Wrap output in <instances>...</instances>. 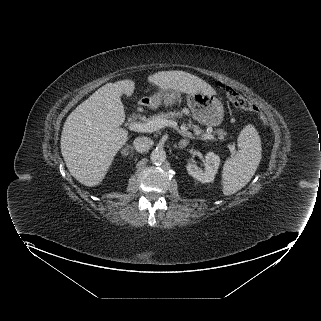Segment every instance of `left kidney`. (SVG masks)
<instances>
[{
    "label": "left kidney",
    "instance_id": "5707ae66",
    "mask_svg": "<svg viewBox=\"0 0 321 321\" xmlns=\"http://www.w3.org/2000/svg\"><path fill=\"white\" fill-rule=\"evenodd\" d=\"M219 165L220 157L213 152H208L205 156V171L200 169L195 163H188L186 168L188 174L194 179L202 183H209L214 180Z\"/></svg>",
    "mask_w": 321,
    "mask_h": 321
}]
</instances>
